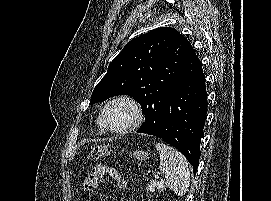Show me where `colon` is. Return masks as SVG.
I'll use <instances>...</instances> for the list:
<instances>
[{
  "instance_id": "5ec220e1",
  "label": "colon",
  "mask_w": 271,
  "mask_h": 201,
  "mask_svg": "<svg viewBox=\"0 0 271 201\" xmlns=\"http://www.w3.org/2000/svg\"><path fill=\"white\" fill-rule=\"evenodd\" d=\"M109 153V147L105 144H99L93 147L85 156L87 162L99 160Z\"/></svg>"
}]
</instances>
